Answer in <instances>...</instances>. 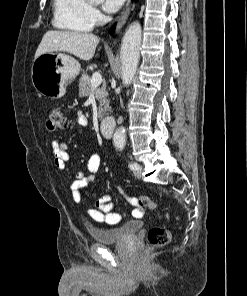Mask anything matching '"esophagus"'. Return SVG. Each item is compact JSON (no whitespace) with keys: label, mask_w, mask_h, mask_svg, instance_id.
I'll return each mask as SVG.
<instances>
[{"label":"esophagus","mask_w":247,"mask_h":296,"mask_svg":"<svg viewBox=\"0 0 247 296\" xmlns=\"http://www.w3.org/2000/svg\"><path fill=\"white\" fill-rule=\"evenodd\" d=\"M129 4H130V2H128V4L126 5V8L124 9V11L119 16L117 27H116L117 31H119L124 26V24L126 23V21L128 19L129 12H130Z\"/></svg>","instance_id":"obj_1"}]
</instances>
